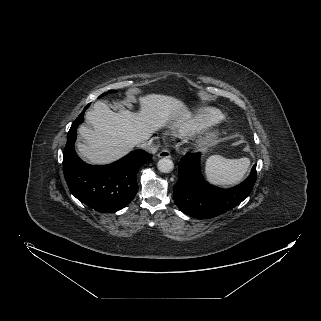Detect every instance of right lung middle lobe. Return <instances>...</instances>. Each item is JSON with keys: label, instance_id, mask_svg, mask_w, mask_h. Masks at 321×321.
I'll list each match as a JSON object with an SVG mask.
<instances>
[{"label": "right lung middle lobe", "instance_id": "dd1d6c3e", "mask_svg": "<svg viewBox=\"0 0 321 321\" xmlns=\"http://www.w3.org/2000/svg\"><path fill=\"white\" fill-rule=\"evenodd\" d=\"M110 92H116V90H110V91H108V92H106V93H104V94L100 95L99 97H102V96H104V95H106L107 93H110Z\"/></svg>", "mask_w": 321, "mask_h": 321}]
</instances>
